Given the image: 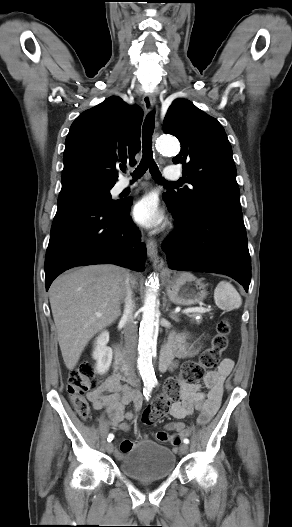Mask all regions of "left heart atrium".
<instances>
[{"instance_id":"left-heart-atrium-1","label":"left heart atrium","mask_w":292,"mask_h":527,"mask_svg":"<svg viewBox=\"0 0 292 527\" xmlns=\"http://www.w3.org/2000/svg\"><path fill=\"white\" fill-rule=\"evenodd\" d=\"M133 218L140 225L151 228L158 225L162 220L157 202L152 196H145L138 200L132 209Z\"/></svg>"}]
</instances>
